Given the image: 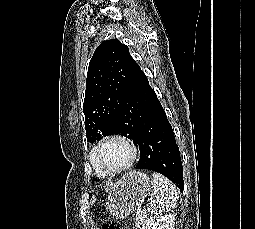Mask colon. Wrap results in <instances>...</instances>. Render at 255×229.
<instances>
[{"instance_id": "1", "label": "colon", "mask_w": 255, "mask_h": 229, "mask_svg": "<svg viewBox=\"0 0 255 229\" xmlns=\"http://www.w3.org/2000/svg\"><path fill=\"white\" fill-rule=\"evenodd\" d=\"M102 229H121V227L115 220H106L102 225Z\"/></svg>"}]
</instances>
